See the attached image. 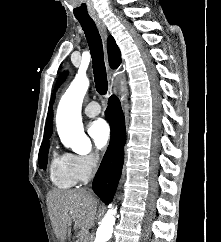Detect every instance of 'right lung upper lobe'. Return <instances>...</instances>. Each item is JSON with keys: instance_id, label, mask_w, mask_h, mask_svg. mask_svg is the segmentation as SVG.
<instances>
[{"instance_id": "cb5924a9", "label": "right lung upper lobe", "mask_w": 221, "mask_h": 242, "mask_svg": "<svg viewBox=\"0 0 221 242\" xmlns=\"http://www.w3.org/2000/svg\"><path fill=\"white\" fill-rule=\"evenodd\" d=\"M107 48H108V56H109V63L111 68H116L120 65L121 62V54L118 46L116 45V42L114 41L112 36L108 37L107 40ZM64 79V74L58 79L57 86L61 83V81ZM55 88V89H56ZM54 96L51 99L50 106L48 109V115L46 120V126H45V132H44V138L50 137L52 134V121H53V109H52V103H53Z\"/></svg>"}]
</instances>
